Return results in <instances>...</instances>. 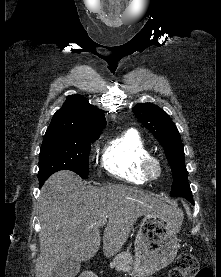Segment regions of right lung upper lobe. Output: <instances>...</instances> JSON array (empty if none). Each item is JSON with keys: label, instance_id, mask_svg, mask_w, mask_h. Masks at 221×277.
Masks as SVG:
<instances>
[{"label": "right lung upper lobe", "instance_id": "1", "mask_svg": "<svg viewBox=\"0 0 221 277\" xmlns=\"http://www.w3.org/2000/svg\"><path fill=\"white\" fill-rule=\"evenodd\" d=\"M106 126L104 111L91 105L83 96H68L51 120L47 133H94Z\"/></svg>", "mask_w": 221, "mask_h": 277}]
</instances>
